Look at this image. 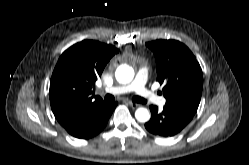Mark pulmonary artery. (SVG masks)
Listing matches in <instances>:
<instances>
[{
    "label": "pulmonary artery",
    "mask_w": 249,
    "mask_h": 165,
    "mask_svg": "<svg viewBox=\"0 0 249 165\" xmlns=\"http://www.w3.org/2000/svg\"><path fill=\"white\" fill-rule=\"evenodd\" d=\"M147 80L148 70L146 67H142L131 83L117 85L115 87L109 88L108 91H112L117 94L136 92L147 102L163 105L165 103V99L163 97L157 96L155 92L147 87Z\"/></svg>",
    "instance_id": "e3ab8cb5"
}]
</instances>
